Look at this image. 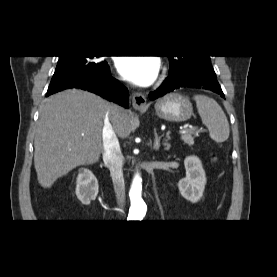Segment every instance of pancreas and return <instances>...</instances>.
Returning <instances> with one entry per match:
<instances>
[{
    "label": "pancreas",
    "instance_id": "pancreas-1",
    "mask_svg": "<svg viewBox=\"0 0 277 277\" xmlns=\"http://www.w3.org/2000/svg\"><path fill=\"white\" fill-rule=\"evenodd\" d=\"M181 140L189 146L194 145V137L192 136L191 133L183 134L181 136Z\"/></svg>",
    "mask_w": 277,
    "mask_h": 277
}]
</instances>
